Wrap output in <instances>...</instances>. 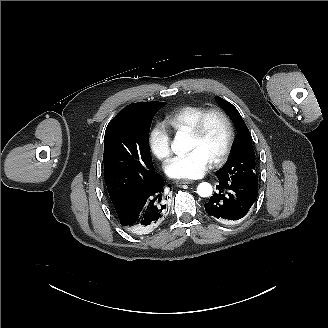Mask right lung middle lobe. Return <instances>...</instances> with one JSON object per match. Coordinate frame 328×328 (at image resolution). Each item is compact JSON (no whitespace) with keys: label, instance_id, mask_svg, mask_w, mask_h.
I'll return each mask as SVG.
<instances>
[{"label":"right lung middle lobe","instance_id":"dd1d6c3e","mask_svg":"<svg viewBox=\"0 0 328 328\" xmlns=\"http://www.w3.org/2000/svg\"><path fill=\"white\" fill-rule=\"evenodd\" d=\"M165 102H138L121 110L104 137V179L115 209L151 186L156 172L149 150L154 114Z\"/></svg>","mask_w":328,"mask_h":328}]
</instances>
